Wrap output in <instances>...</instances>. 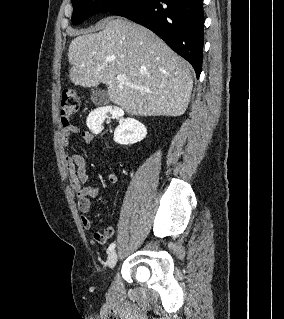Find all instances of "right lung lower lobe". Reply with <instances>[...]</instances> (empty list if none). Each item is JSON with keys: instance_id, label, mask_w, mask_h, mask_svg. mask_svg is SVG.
<instances>
[{"instance_id": "98d812e1", "label": "right lung lower lobe", "mask_w": 284, "mask_h": 319, "mask_svg": "<svg viewBox=\"0 0 284 319\" xmlns=\"http://www.w3.org/2000/svg\"><path fill=\"white\" fill-rule=\"evenodd\" d=\"M109 13L123 16L156 33L194 68H202L203 0H131Z\"/></svg>"}]
</instances>
